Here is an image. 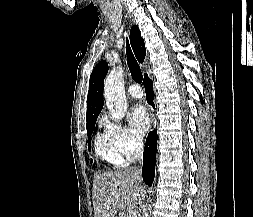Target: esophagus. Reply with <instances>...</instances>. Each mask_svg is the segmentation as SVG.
Here are the masks:
<instances>
[{
  "label": "esophagus",
  "mask_w": 253,
  "mask_h": 217,
  "mask_svg": "<svg viewBox=\"0 0 253 217\" xmlns=\"http://www.w3.org/2000/svg\"><path fill=\"white\" fill-rule=\"evenodd\" d=\"M150 117H151L152 125L154 126V124H155V115H154L153 110L150 111Z\"/></svg>",
  "instance_id": "34e87169"
}]
</instances>
